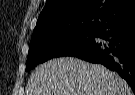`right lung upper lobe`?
<instances>
[{
	"label": "right lung upper lobe",
	"mask_w": 135,
	"mask_h": 95,
	"mask_svg": "<svg viewBox=\"0 0 135 95\" xmlns=\"http://www.w3.org/2000/svg\"><path fill=\"white\" fill-rule=\"evenodd\" d=\"M135 15V0H47L33 35L96 31L109 20Z\"/></svg>",
	"instance_id": "right-lung-upper-lobe-1"
}]
</instances>
